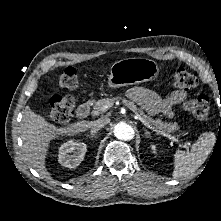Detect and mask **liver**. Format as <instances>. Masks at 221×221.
Segmentation results:
<instances>
[{
	"label": "liver",
	"instance_id": "liver-1",
	"mask_svg": "<svg viewBox=\"0 0 221 221\" xmlns=\"http://www.w3.org/2000/svg\"><path fill=\"white\" fill-rule=\"evenodd\" d=\"M98 120L105 122V124L110 122L108 116ZM93 123L94 121H78L65 128L56 127L26 106L22 113L20 130L28 163L42 176L50 178L45 166L49 142L59 135L71 136L84 132L91 128Z\"/></svg>",
	"mask_w": 221,
	"mask_h": 221
}]
</instances>
